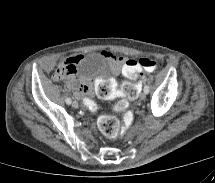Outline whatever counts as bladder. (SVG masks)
<instances>
[{
    "label": "bladder",
    "mask_w": 215,
    "mask_h": 183,
    "mask_svg": "<svg viewBox=\"0 0 215 183\" xmlns=\"http://www.w3.org/2000/svg\"><path fill=\"white\" fill-rule=\"evenodd\" d=\"M116 66L99 53L88 54L77 64V71L88 78L112 77Z\"/></svg>",
    "instance_id": "bladder-1"
}]
</instances>
